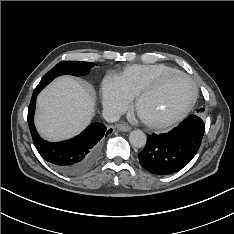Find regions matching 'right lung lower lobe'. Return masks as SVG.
Instances as JSON below:
<instances>
[{
	"label": "right lung lower lobe",
	"mask_w": 234,
	"mask_h": 234,
	"mask_svg": "<svg viewBox=\"0 0 234 234\" xmlns=\"http://www.w3.org/2000/svg\"><path fill=\"white\" fill-rule=\"evenodd\" d=\"M40 89H35L28 108V124L34 145L43 159L67 175H78L87 171L99 154L100 140L112 130L102 123H93L80 135L57 143L43 140L34 126L36 97Z\"/></svg>",
	"instance_id": "right-lung-lower-lobe-1"
}]
</instances>
